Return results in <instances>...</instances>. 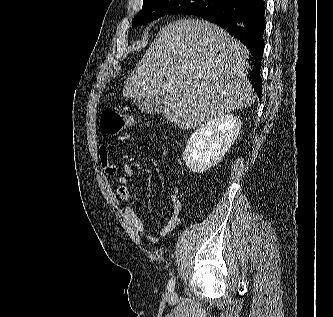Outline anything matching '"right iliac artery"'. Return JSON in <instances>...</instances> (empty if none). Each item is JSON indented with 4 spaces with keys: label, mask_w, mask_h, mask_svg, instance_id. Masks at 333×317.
I'll list each match as a JSON object with an SVG mask.
<instances>
[{
    "label": "right iliac artery",
    "mask_w": 333,
    "mask_h": 317,
    "mask_svg": "<svg viewBox=\"0 0 333 317\" xmlns=\"http://www.w3.org/2000/svg\"><path fill=\"white\" fill-rule=\"evenodd\" d=\"M174 287H175V280L171 278V279L168 281L167 289H168V291H173V290H174Z\"/></svg>",
    "instance_id": "82829eb1"
}]
</instances>
